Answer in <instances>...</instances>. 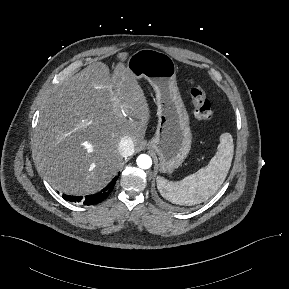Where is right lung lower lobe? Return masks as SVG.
Masks as SVG:
<instances>
[{"label": "right lung lower lobe", "instance_id": "98d812e1", "mask_svg": "<svg viewBox=\"0 0 289 289\" xmlns=\"http://www.w3.org/2000/svg\"><path fill=\"white\" fill-rule=\"evenodd\" d=\"M117 176L100 192L96 194L87 195L85 197L82 196H69L63 195V198L70 202H82L84 205H94L102 202L113 190L114 185L116 183Z\"/></svg>", "mask_w": 289, "mask_h": 289}]
</instances>
